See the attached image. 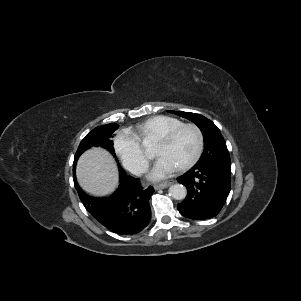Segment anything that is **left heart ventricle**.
<instances>
[{"label":"left heart ventricle","mask_w":301,"mask_h":301,"mask_svg":"<svg viewBox=\"0 0 301 301\" xmlns=\"http://www.w3.org/2000/svg\"><path fill=\"white\" fill-rule=\"evenodd\" d=\"M197 146V137L193 129L182 130L169 143L157 141L154 154L158 157H165L176 166H181L188 161L194 154Z\"/></svg>","instance_id":"b2bd125f"}]
</instances>
